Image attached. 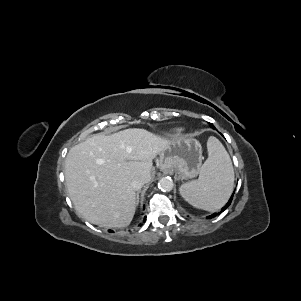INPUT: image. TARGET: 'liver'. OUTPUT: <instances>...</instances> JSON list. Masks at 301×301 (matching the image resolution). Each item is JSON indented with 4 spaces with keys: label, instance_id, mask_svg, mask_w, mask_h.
Returning a JSON list of instances; mask_svg holds the SVG:
<instances>
[{
    "label": "liver",
    "instance_id": "liver-1",
    "mask_svg": "<svg viewBox=\"0 0 301 301\" xmlns=\"http://www.w3.org/2000/svg\"><path fill=\"white\" fill-rule=\"evenodd\" d=\"M169 140L144 129L93 135L72 147L65 159L67 191L77 212L92 224L127 227L136 210L132 180H151L153 159Z\"/></svg>",
    "mask_w": 301,
    "mask_h": 301
}]
</instances>
